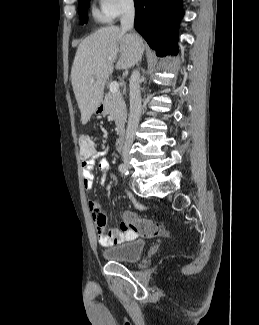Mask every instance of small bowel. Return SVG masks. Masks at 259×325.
I'll return each mask as SVG.
<instances>
[{"label": "small bowel", "instance_id": "1", "mask_svg": "<svg viewBox=\"0 0 259 325\" xmlns=\"http://www.w3.org/2000/svg\"><path fill=\"white\" fill-rule=\"evenodd\" d=\"M105 151H95L94 154L82 162V176L83 185L86 190L93 188L94 182V168L97 164L101 171V184H105L107 181V173L110 169V164L105 158ZM126 196L132 201V203L138 207H141L131 192H126ZM89 211L92 220L95 224V228L98 235V242L103 247H109L112 245L120 244L126 240H130L136 237V233L128 228L124 222L121 223L120 229L108 230L107 217L101 211L100 205L95 200L88 202Z\"/></svg>", "mask_w": 259, "mask_h": 325}]
</instances>
